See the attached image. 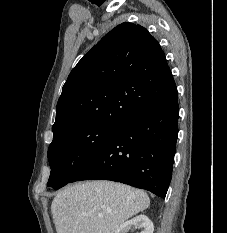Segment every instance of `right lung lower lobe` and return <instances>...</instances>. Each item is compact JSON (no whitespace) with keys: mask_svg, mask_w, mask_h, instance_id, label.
<instances>
[{"mask_svg":"<svg viewBox=\"0 0 227 233\" xmlns=\"http://www.w3.org/2000/svg\"><path fill=\"white\" fill-rule=\"evenodd\" d=\"M177 88L126 119L70 182L125 183L165 198L178 136Z\"/></svg>","mask_w":227,"mask_h":233,"instance_id":"obj_1","label":"right lung lower lobe"}]
</instances>
